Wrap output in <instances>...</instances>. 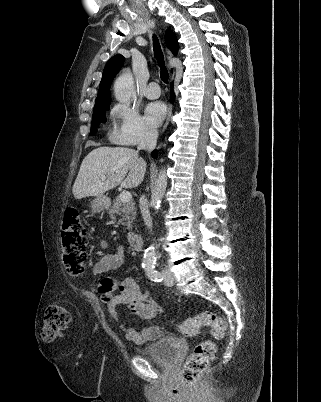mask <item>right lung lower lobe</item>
<instances>
[{
	"label": "right lung lower lobe",
	"mask_w": 321,
	"mask_h": 402,
	"mask_svg": "<svg viewBox=\"0 0 321 402\" xmlns=\"http://www.w3.org/2000/svg\"><path fill=\"white\" fill-rule=\"evenodd\" d=\"M170 100H171V101L174 100V95H172V97H171ZM157 154H158V152H157V151H154V152L152 153V157H153V158H157Z\"/></svg>",
	"instance_id": "98d812e1"
}]
</instances>
